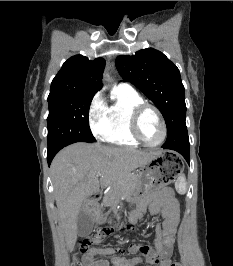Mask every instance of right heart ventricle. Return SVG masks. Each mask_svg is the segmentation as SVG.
<instances>
[{
    "instance_id": "obj_1",
    "label": "right heart ventricle",
    "mask_w": 233,
    "mask_h": 266,
    "mask_svg": "<svg viewBox=\"0 0 233 266\" xmlns=\"http://www.w3.org/2000/svg\"><path fill=\"white\" fill-rule=\"evenodd\" d=\"M112 102L106 107L107 131L103 139L114 145L137 147L139 143L130 131V113L134 106L143 103L141 95L133 88L115 86Z\"/></svg>"
}]
</instances>
